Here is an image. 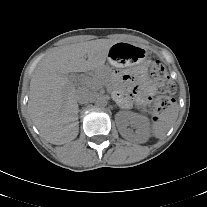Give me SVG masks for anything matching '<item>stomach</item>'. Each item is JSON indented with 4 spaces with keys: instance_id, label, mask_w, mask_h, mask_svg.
I'll list each match as a JSON object with an SVG mask.
<instances>
[{
    "instance_id": "obj_1",
    "label": "stomach",
    "mask_w": 207,
    "mask_h": 207,
    "mask_svg": "<svg viewBox=\"0 0 207 207\" xmlns=\"http://www.w3.org/2000/svg\"><path fill=\"white\" fill-rule=\"evenodd\" d=\"M147 56L148 53L144 48L120 42L111 47L107 57L112 66L123 68L128 65L144 64Z\"/></svg>"
}]
</instances>
